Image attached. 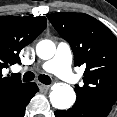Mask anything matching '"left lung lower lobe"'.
<instances>
[{"label": "left lung lower lobe", "instance_id": "obj_1", "mask_svg": "<svg viewBox=\"0 0 117 117\" xmlns=\"http://www.w3.org/2000/svg\"><path fill=\"white\" fill-rule=\"evenodd\" d=\"M110 111L111 106L76 100L72 108L67 111L57 110L54 114L56 117H106Z\"/></svg>", "mask_w": 117, "mask_h": 117}]
</instances>
